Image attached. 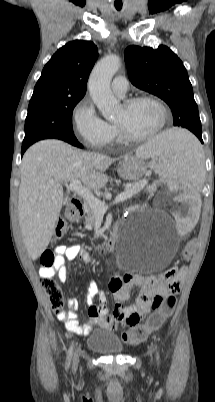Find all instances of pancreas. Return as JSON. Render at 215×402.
Listing matches in <instances>:
<instances>
[{
    "label": "pancreas",
    "instance_id": "obj_1",
    "mask_svg": "<svg viewBox=\"0 0 215 402\" xmlns=\"http://www.w3.org/2000/svg\"><path fill=\"white\" fill-rule=\"evenodd\" d=\"M140 182H133L130 184V188H134ZM97 214L88 206L86 208L85 225L88 229H92L96 223Z\"/></svg>",
    "mask_w": 215,
    "mask_h": 402
}]
</instances>
